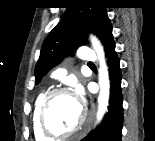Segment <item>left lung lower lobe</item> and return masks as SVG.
Segmentation results:
<instances>
[{"label": "left lung lower lobe", "mask_w": 155, "mask_h": 141, "mask_svg": "<svg viewBox=\"0 0 155 141\" xmlns=\"http://www.w3.org/2000/svg\"><path fill=\"white\" fill-rule=\"evenodd\" d=\"M104 48L111 80L110 105L108 107V113L105 115L100 126L90 132L81 141H121L123 127L121 69L119 58L115 51L113 35L106 40Z\"/></svg>", "instance_id": "left-lung-lower-lobe-1"}]
</instances>
